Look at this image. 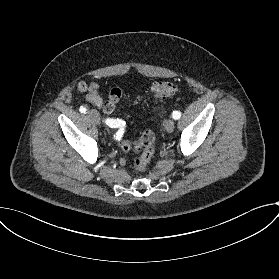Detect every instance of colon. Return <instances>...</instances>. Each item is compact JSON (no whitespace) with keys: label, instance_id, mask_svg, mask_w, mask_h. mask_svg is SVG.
Returning <instances> with one entry per match:
<instances>
[{"label":"colon","instance_id":"colon-1","mask_svg":"<svg viewBox=\"0 0 279 279\" xmlns=\"http://www.w3.org/2000/svg\"><path fill=\"white\" fill-rule=\"evenodd\" d=\"M180 90L178 84L173 81H162L155 83L151 92L155 98L165 99L174 95ZM122 100V91L119 88H112L107 96V99L103 105V111L106 114H111L117 104ZM154 142L155 136L152 131H144L137 141H130L123 139L120 142V148L123 152H129L134 149L139 152V156L133 161V169L136 172H145L151 159L154 156Z\"/></svg>","mask_w":279,"mask_h":279}]
</instances>
